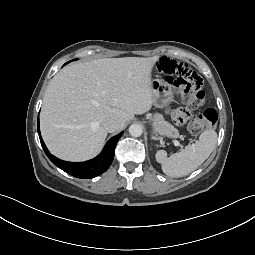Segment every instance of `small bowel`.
I'll return each instance as SVG.
<instances>
[{
	"label": "small bowel",
	"mask_w": 255,
	"mask_h": 255,
	"mask_svg": "<svg viewBox=\"0 0 255 255\" xmlns=\"http://www.w3.org/2000/svg\"><path fill=\"white\" fill-rule=\"evenodd\" d=\"M170 118L178 125H187L193 120L194 113L190 108L180 106L171 111Z\"/></svg>",
	"instance_id": "small-bowel-1"
}]
</instances>
